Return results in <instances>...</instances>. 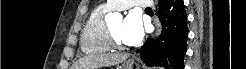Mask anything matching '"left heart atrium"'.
Instances as JSON below:
<instances>
[{
    "label": "left heart atrium",
    "instance_id": "39dd6f15",
    "mask_svg": "<svg viewBox=\"0 0 246 69\" xmlns=\"http://www.w3.org/2000/svg\"><path fill=\"white\" fill-rule=\"evenodd\" d=\"M144 34V29L140 15L137 11H130L122 25L123 41L127 45L139 43Z\"/></svg>",
    "mask_w": 246,
    "mask_h": 69
}]
</instances>
